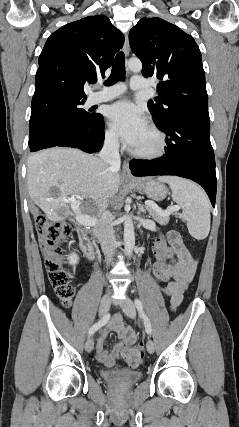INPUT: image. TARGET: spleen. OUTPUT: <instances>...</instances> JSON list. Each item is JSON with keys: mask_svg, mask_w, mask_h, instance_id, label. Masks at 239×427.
Masks as SVG:
<instances>
[{"mask_svg": "<svg viewBox=\"0 0 239 427\" xmlns=\"http://www.w3.org/2000/svg\"><path fill=\"white\" fill-rule=\"evenodd\" d=\"M158 180L169 184L172 198L182 209L181 218L186 221L191 236L198 240L205 239L210 231V205L205 192L184 178L161 176Z\"/></svg>", "mask_w": 239, "mask_h": 427, "instance_id": "1", "label": "spleen"}]
</instances>
